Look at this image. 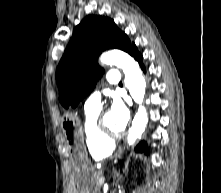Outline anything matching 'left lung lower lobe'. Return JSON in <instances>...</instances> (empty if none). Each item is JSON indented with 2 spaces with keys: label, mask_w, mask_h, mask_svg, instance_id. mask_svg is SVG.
<instances>
[{
  "label": "left lung lower lobe",
  "mask_w": 221,
  "mask_h": 193,
  "mask_svg": "<svg viewBox=\"0 0 221 193\" xmlns=\"http://www.w3.org/2000/svg\"><path fill=\"white\" fill-rule=\"evenodd\" d=\"M128 53L135 58V60H137L141 66V68L143 69V71L145 72L142 60L143 57L142 55L138 52L135 44L133 43L131 48L129 49ZM135 150L137 152H145L146 154H149V149L147 148V145L144 141L140 142L136 147Z\"/></svg>",
  "instance_id": "0a47b994"
}]
</instances>
